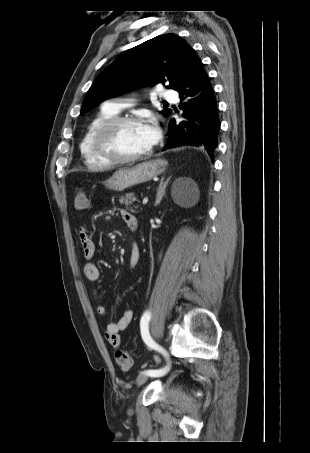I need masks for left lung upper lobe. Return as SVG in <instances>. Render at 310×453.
<instances>
[{"label": "left lung upper lobe", "mask_w": 310, "mask_h": 453, "mask_svg": "<svg viewBox=\"0 0 310 453\" xmlns=\"http://www.w3.org/2000/svg\"><path fill=\"white\" fill-rule=\"evenodd\" d=\"M193 52L191 46L175 34L159 35L122 52L95 79L84 98L81 113L137 86L168 83L167 88L175 89ZM161 113L168 116L170 110Z\"/></svg>", "instance_id": "obj_1"}]
</instances>
